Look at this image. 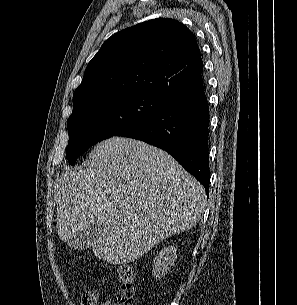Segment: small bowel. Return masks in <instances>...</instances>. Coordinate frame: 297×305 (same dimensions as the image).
Listing matches in <instances>:
<instances>
[{
    "instance_id": "small-bowel-1",
    "label": "small bowel",
    "mask_w": 297,
    "mask_h": 305,
    "mask_svg": "<svg viewBox=\"0 0 297 305\" xmlns=\"http://www.w3.org/2000/svg\"><path fill=\"white\" fill-rule=\"evenodd\" d=\"M102 290L91 289L82 295L81 305H97ZM101 305H114L111 299L104 301Z\"/></svg>"
}]
</instances>
